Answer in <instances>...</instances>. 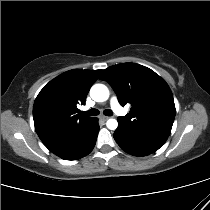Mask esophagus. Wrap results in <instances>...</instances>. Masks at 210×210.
<instances>
[{"label": "esophagus", "instance_id": "obj_1", "mask_svg": "<svg viewBox=\"0 0 210 210\" xmlns=\"http://www.w3.org/2000/svg\"><path fill=\"white\" fill-rule=\"evenodd\" d=\"M100 119H102V120L106 121V120H108V119H109V117H108V116H101V117H100Z\"/></svg>", "mask_w": 210, "mask_h": 210}]
</instances>
